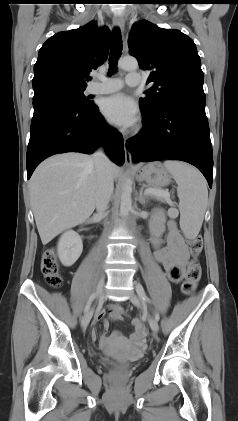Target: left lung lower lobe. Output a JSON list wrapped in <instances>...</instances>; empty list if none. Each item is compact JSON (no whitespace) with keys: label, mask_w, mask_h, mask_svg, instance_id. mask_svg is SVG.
Wrapping results in <instances>:
<instances>
[{"label":"left lung lower lobe","mask_w":238,"mask_h":421,"mask_svg":"<svg viewBox=\"0 0 238 421\" xmlns=\"http://www.w3.org/2000/svg\"><path fill=\"white\" fill-rule=\"evenodd\" d=\"M144 130L127 141L134 162L181 160L196 166L212 187L213 152L205 114V94L192 92L143 113Z\"/></svg>","instance_id":"1"}]
</instances>
